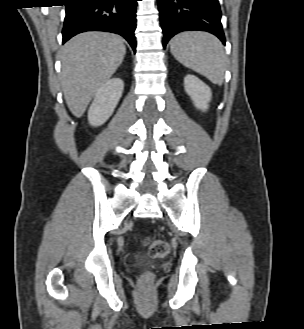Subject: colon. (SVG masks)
Listing matches in <instances>:
<instances>
[{
    "instance_id": "obj_1",
    "label": "colon",
    "mask_w": 304,
    "mask_h": 329,
    "mask_svg": "<svg viewBox=\"0 0 304 329\" xmlns=\"http://www.w3.org/2000/svg\"><path fill=\"white\" fill-rule=\"evenodd\" d=\"M143 245L147 248L148 253L154 258H165L169 254V245L165 240H150L149 238H145L143 240ZM153 279V273L146 271L140 276V283L142 285H148L152 283Z\"/></svg>"
}]
</instances>
